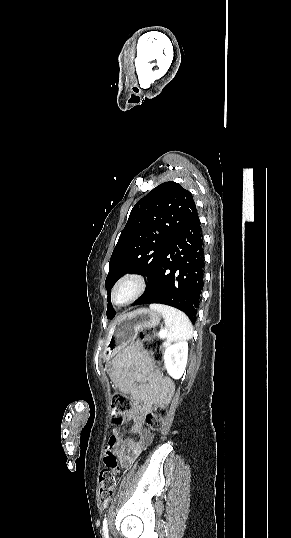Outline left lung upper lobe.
Instances as JSON below:
<instances>
[{"instance_id": "5c2ea615", "label": "left lung upper lobe", "mask_w": 291, "mask_h": 538, "mask_svg": "<svg viewBox=\"0 0 291 538\" xmlns=\"http://www.w3.org/2000/svg\"><path fill=\"white\" fill-rule=\"evenodd\" d=\"M196 213L192 194L172 181L160 184L135 204L109 262L107 318L115 316L111 289L117 280L126 273L150 279L174 237Z\"/></svg>"}]
</instances>
